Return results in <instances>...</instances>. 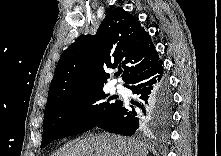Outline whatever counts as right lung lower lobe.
<instances>
[{
    "label": "right lung lower lobe",
    "instance_id": "obj_1",
    "mask_svg": "<svg viewBox=\"0 0 221 156\" xmlns=\"http://www.w3.org/2000/svg\"><path fill=\"white\" fill-rule=\"evenodd\" d=\"M139 95V102L132 105L121 102L119 108L97 127L124 136L133 135L139 128L166 127L171 119L172 98L168 79L159 60L149 69L132 77L126 85Z\"/></svg>",
    "mask_w": 221,
    "mask_h": 156
}]
</instances>
